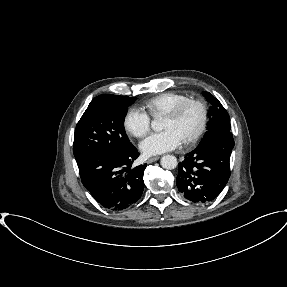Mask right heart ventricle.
<instances>
[{"label": "right heart ventricle", "mask_w": 287, "mask_h": 287, "mask_svg": "<svg viewBox=\"0 0 287 287\" xmlns=\"http://www.w3.org/2000/svg\"><path fill=\"white\" fill-rule=\"evenodd\" d=\"M187 98L186 95L181 93L164 92L145 100L142 107L149 115L156 117L165 114Z\"/></svg>", "instance_id": "right-heart-ventricle-1"}]
</instances>
